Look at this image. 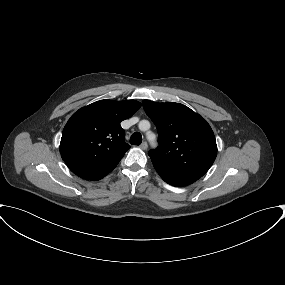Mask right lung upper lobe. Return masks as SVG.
<instances>
[{
	"label": "right lung upper lobe",
	"mask_w": 285,
	"mask_h": 285,
	"mask_svg": "<svg viewBox=\"0 0 285 285\" xmlns=\"http://www.w3.org/2000/svg\"><path fill=\"white\" fill-rule=\"evenodd\" d=\"M141 104L135 100H100L75 112L64 127L60 153L77 176L97 181L110 173L130 146L120 122Z\"/></svg>",
	"instance_id": "obj_1"
}]
</instances>
